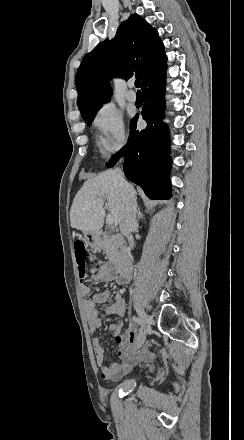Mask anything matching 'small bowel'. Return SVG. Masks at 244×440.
Segmentation results:
<instances>
[{"label": "small bowel", "instance_id": "c3829d8e", "mask_svg": "<svg viewBox=\"0 0 244 440\" xmlns=\"http://www.w3.org/2000/svg\"><path fill=\"white\" fill-rule=\"evenodd\" d=\"M92 280L98 283L115 282L118 285H127L130 282V273L119 272L115 266L104 264L99 271L92 276ZM80 294L82 300V309L86 318L89 331L96 332L102 325V319L99 316L97 306L107 302L111 292L108 289L96 292L91 298H86L90 294V288L87 284L80 285ZM125 300L120 293H115L112 303L106 308L109 315L120 318L125 314ZM110 331L113 334L115 343V355L117 362L106 364V353L98 337H92V346L95 355L96 364L100 369V376L105 380H119L138 364L140 361L152 359V355L144 348L135 346V335L131 328L123 330V324L116 320L110 324Z\"/></svg>", "mask_w": 244, "mask_h": 440}]
</instances>
